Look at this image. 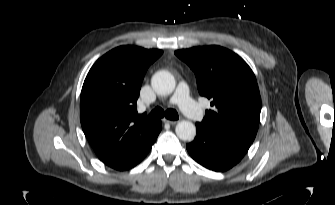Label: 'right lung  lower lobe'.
I'll return each mask as SVG.
<instances>
[{
	"instance_id": "obj_1",
	"label": "right lung lower lobe",
	"mask_w": 335,
	"mask_h": 205,
	"mask_svg": "<svg viewBox=\"0 0 335 205\" xmlns=\"http://www.w3.org/2000/svg\"><path fill=\"white\" fill-rule=\"evenodd\" d=\"M156 138L149 145H147L144 149H142L141 151H139L136 154H133L131 156L121 158V159L106 160V161H103V162L106 165H108L109 167L114 168L116 170L123 171V170L130 169L144 159V157L150 151V149H151L153 143L155 142Z\"/></svg>"
}]
</instances>
